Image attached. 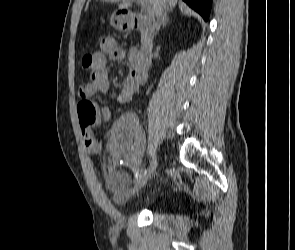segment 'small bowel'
<instances>
[{"mask_svg": "<svg viewBox=\"0 0 295 250\" xmlns=\"http://www.w3.org/2000/svg\"><path fill=\"white\" fill-rule=\"evenodd\" d=\"M96 68L92 72L90 82L82 84L78 89L81 99H88L97 93H106L111 88L108 73L109 61H119L126 57V52L117 45L114 38L103 37L100 42V51L94 53ZM136 53L130 55L132 69L123 81L122 90L117 96L120 104H126L139 92L140 82L133 72V66L137 60ZM102 119L109 122L111 112L109 108L102 109ZM85 149L90 155H97L102 151V145L95 138L90 130L82 131ZM110 154L114 163L123 160L138 162L143 152V134L135 114L128 112L120 116L114 123L110 134ZM131 177L124 171L111 168L107 175V185L114 193L116 199L123 200L128 194V186Z\"/></svg>", "mask_w": 295, "mask_h": 250, "instance_id": "obj_1", "label": "small bowel"}]
</instances>
